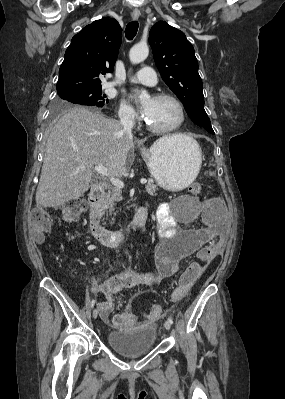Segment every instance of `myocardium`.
<instances>
[{
    "label": "myocardium",
    "instance_id": "obj_1",
    "mask_svg": "<svg viewBox=\"0 0 285 399\" xmlns=\"http://www.w3.org/2000/svg\"><path fill=\"white\" fill-rule=\"evenodd\" d=\"M154 100H171L173 101L180 110V114H181V118L179 120V122L171 127H167V128H158L155 127L154 125H152L146 118H145V125L146 127L155 133H160V134H166V133H171L174 132L176 130H178L184 123L185 119H186V111H185V107L183 105V103L181 102L180 99H178L176 96L171 95V94H167V93H160L157 94L154 98Z\"/></svg>",
    "mask_w": 285,
    "mask_h": 399
}]
</instances>
